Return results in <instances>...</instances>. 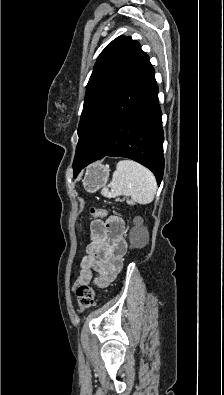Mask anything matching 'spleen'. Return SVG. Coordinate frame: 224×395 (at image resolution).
<instances>
[{
	"instance_id": "3e777b00",
	"label": "spleen",
	"mask_w": 224,
	"mask_h": 395,
	"mask_svg": "<svg viewBox=\"0 0 224 395\" xmlns=\"http://www.w3.org/2000/svg\"><path fill=\"white\" fill-rule=\"evenodd\" d=\"M156 190L157 182L149 169L132 160H121L112 181L102 189L101 194L107 198L123 195L138 204H148L154 200Z\"/></svg>"
}]
</instances>
